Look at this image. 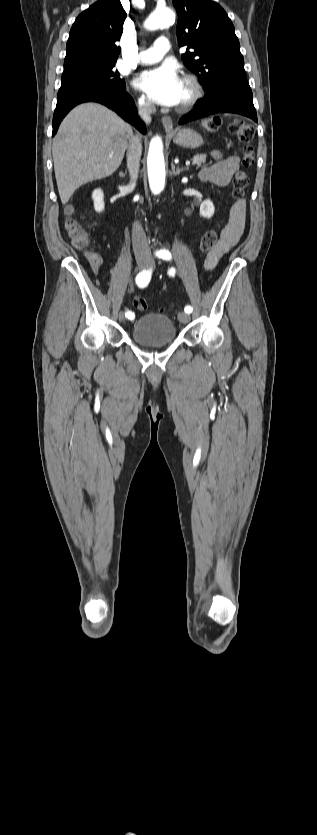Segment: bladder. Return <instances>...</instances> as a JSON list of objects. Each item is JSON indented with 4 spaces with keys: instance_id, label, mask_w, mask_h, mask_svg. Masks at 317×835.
Wrapping results in <instances>:
<instances>
[{
    "instance_id": "1",
    "label": "bladder",
    "mask_w": 317,
    "mask_h": 835,
    "mask_svg": "<svg viewBox=\"0 0 317 835\" xmlns=\"http://www.w3.org/2000/svg\"><path fill=\"white\" fill-rule=\"evenodd\" d=\"M176 328L172 320L162 314L149 313L141 316L133 325L132 339L143 346H158L176 339Z\"/></svg>"
}]
</instances>
